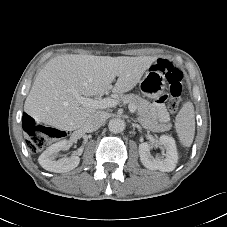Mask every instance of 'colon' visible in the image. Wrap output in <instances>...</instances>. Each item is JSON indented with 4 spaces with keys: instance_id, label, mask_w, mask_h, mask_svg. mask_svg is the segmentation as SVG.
I'll return each mask as SVG.
<instances>
[{
    "instance_id": "1",
    "label": "colon",
    "mask_w": 227,
    "mask_h": 227,
    "mask_svg": "<svg viewBox=\"0 0 227 227\" xmlns=\"http://www.w3.org/2000/svg\"><path fill=\"white\" fill-rule=\"evenodd\" d=\"M155 70L163 73L169 82L170 99L168 108L172 114H175L179 108L180 96L182 92L183 71L173 66L166 59H159L153 66ZM24 130L28 135V147L32 151H38L45 147L47 136H56L58 132L51 128H45L38 124L34 119L28 118L24 123Z\"/></svg>"
}]
</instances>
